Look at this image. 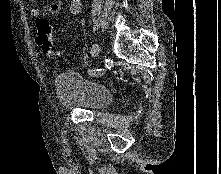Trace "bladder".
<instances>
[{"label":"bladder","instance_id":"bladder-1","mask_svg":"<svg viewBox=\"0 0 221 174\" xmlns=\"http://www.w3.org/2000/svg\"><path fill=\"white\" fill-rule=\"evenodd\" d=\"M56 98L64 109L98 111L109 105L111 92L102 84L74 71L58 74L54 80Z\"/></svg>","mask_w":221,"mask_h":174}]
</instances>
